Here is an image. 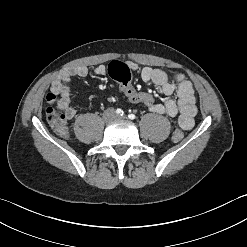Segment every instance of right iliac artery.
<instances>
[{"label": "right iliac artery", "mask_w": 247, "mask_h": 247, "mask_svg": "<svg viewBox=\"0 0 247 247\" xmlns=\"http://www.w3.org/2000/svg\"><path fill=\"white\" fill-rule=\"evenodd\" d=\"M116 113H117L118 115H120V116H123V114H124L123 110H121V109H117V110H116Z\"/></svg>", "instance_id": "obj_1"}]
</instances>
